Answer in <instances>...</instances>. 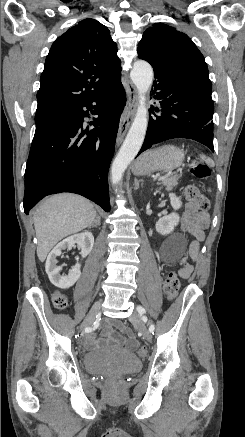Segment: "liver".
I'll list each match as a JSON object with an SVG mask.
<instances>
[{"instance_id":"liver-1","label":"liver","mask_w":245,"mask_h":437,"mask_svg":"<svg viewBox=\"0 0 245 437\" xmlns=\"http://www.w3.org/2000/svg\"><path fill=\"white\" fill-rule=\"evenodd\" d=\"M95 219L93 205L81 196L64 193L44 200L33 215L39 260L43 262L60 240L84 230Z\"/></svg>"}]
</instances>
